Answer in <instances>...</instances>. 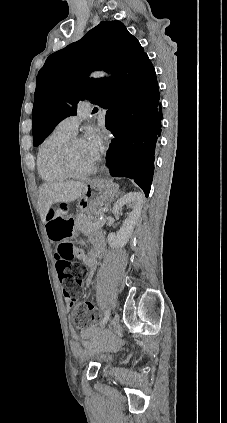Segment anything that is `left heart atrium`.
Segmentation results:
<instances>
[{"mask_svg":"<svg viewBox=\"0 0 227 423\" xmlns=\"http://www.w3.org/2000/svg\"><path fill=\"white\" fill-rule=\"evenodd\" d=\"M84 143L90 152L93 162L95 163L103 148L102 134L97 130H93Z\"/></svg>","mask_w":227,"mask_h":423,"instance_id":"1","label":"left heart atrium"}]
</instances>
